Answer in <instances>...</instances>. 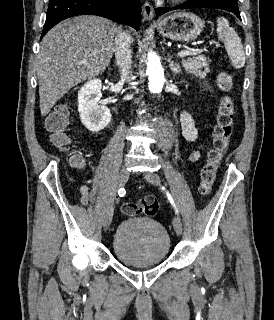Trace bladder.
I'll return each instance as SVG.
<instances>
[{
    "mask_svg": "<svg viewBox=\"0 0 274 320\" xmlns=\"http://www.w3.org/2000/svg\"><path fill=\"white\" fill-rule=\"evenodd\" d=\"M171 240L165 227L149 217H131L117 226L112 240L116 259L127 266L142 267L166 260Z\"/></svg>",
    "mask_w": 274,
    "mask_h": 320,
    "instance_id": "31cf9c89",
    "label": "bladder"
}]
</instances>
